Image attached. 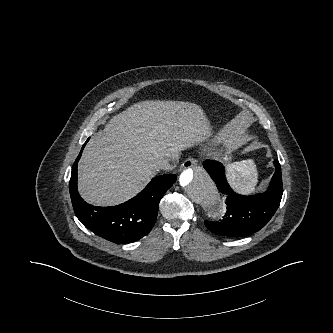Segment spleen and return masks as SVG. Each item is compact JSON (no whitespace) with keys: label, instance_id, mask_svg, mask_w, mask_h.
<instances>
[{"label":"spleen","instance_id":"1","mask_svg":"<svg viewBox=\"0 0 333 333\" xmlns=\"http://www.w3.org/2000/svg\"><path fill=\"white\" fill-rule=\"evenodd\" d=\"M226 176L231 187L241 195L254 192L258 183V172L253 160L229 164Z\"/></svg>","mask_w":333,"mask_h":333}]
</instances>
